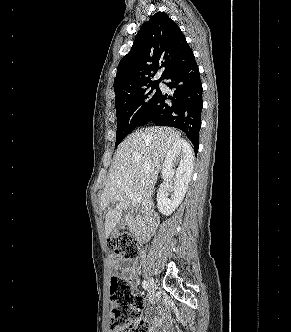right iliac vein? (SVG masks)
I'll use <instances>...</instances> for the list:
<instances>
[{"label": "right iliac vein", "mask_w": 291, "mask_h": 332, "mask_svg": "<svg viewBox=\"0 0 291 332\" xmlns=\"http://www.w3.org/2000/svg\"><path fill=\"white\" fill-rule=\"evenodd\" d=\"M148 293L149 297L153 300L155 298V293H156V282L154 281L153 278L149 279Z\"/></svg>", "instance_id": "63e3f726"}]
</instances>
